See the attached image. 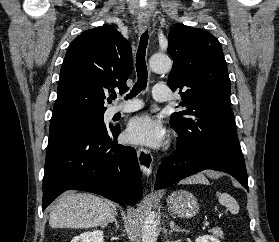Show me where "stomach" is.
I'll return each mask as SVG.
<instances>
[{
	"label": "stomach",
	"mask_w": 279,
	"mask_h": 242,
	"mask_svg": "<svg viewBox=\"0 0 279 242\" xmlns=\"http://www.w3.org/2000/svg\"><path fill=\"white\" fill-rule=\"evenodd\" d=\"M167 206L173 214L182 218H191L199 211L197 199L186 190L171 193L167 198Z\"/></svg>",
	"instance_id": "1"
}]
</instances>
